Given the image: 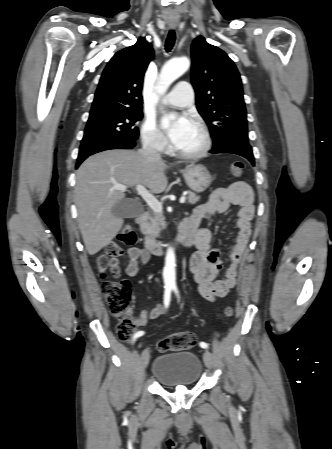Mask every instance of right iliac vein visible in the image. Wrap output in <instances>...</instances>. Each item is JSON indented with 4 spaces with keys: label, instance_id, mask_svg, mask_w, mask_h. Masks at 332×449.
I'll return each instance as SVG.
<instances>
[{
    "label": "right iliac vein",
    "instance_id": "right-iliac-vein-1",
    "mask_svg": "<svg viewBox=\"0 0 332 449\" xmlns=\"http://www.w3.org/2000/svg\"><path fill=\"white\" fill-rule=\"evenodd\" d=\"M149 359H150L149 350L148 349L143 350V352L141 354V365L143 368L147 367V365L149 363Z\"/></svg>",
    "mask_w": 332,
    "mask_h": 449
}]
</instances>
